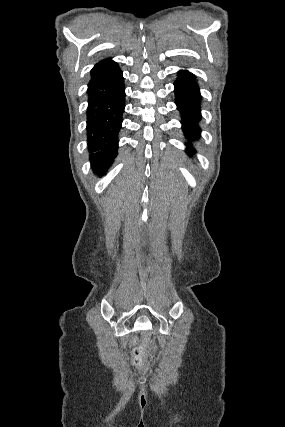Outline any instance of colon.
I'll list each match as a JSON object with an SVG mask.
<instances>
[{"label":"colon","instance_id":"obj_1","mask_svg":"<svg viewBox=\"0 0 285 427\" xmlns=\"http://www.w3.org/2000/svg\"><path fill=\"white\" fill-rule=\"evenodd\" d=\"M134 355V361L138 366H141L143 364V360L140 357L141 355V350L140 349H135L133 352Z\"/></svg>","mask_w":285,"mask_h":427}]
</instances>
